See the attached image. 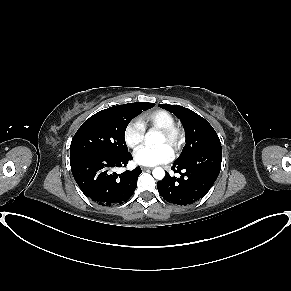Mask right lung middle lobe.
Here are the masks:
<instances>
[{
	"label": "right lung middle lobe",
	"mask_w": 291,
	"mask_h": 291,
	"mask_svg": "<svg viewBox=\"0 0 291 291\" xmlns=\"http://www.w3.org/2000/svg\"><path fill=\"white\" fill-rule=\"evenodd\" d=\"M155 106L136 102L104 109L88 118L75 133L70 157L81 154L120 155L128 152L125 130L139 113Z\"/></svg>",
	"instance_id": "obj_1"
}]
</instances>
